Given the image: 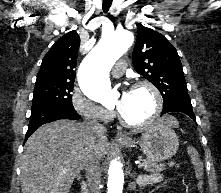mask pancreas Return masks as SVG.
<instances>
[{"label": "pancreas", "instance_id": "obj_1", "mask_svg": "<svg viewBox=\"0 0 221 193\" xmlns=\"http://www.w3.org/2000/svg\"><path fill=\"white\" fill-rule=\"evenodd\" d=\"M139 160L142 161V163L144 165L143 168L147 172H151V173L161 172L166 168V164H164V163H157L156 161H152L149 159H141V158ZM174 165H175L174 162H172V161L168 162V166L172 167Z\"/></svg>", "mask_w": 221, "mask_h": 193}]
</instances>
